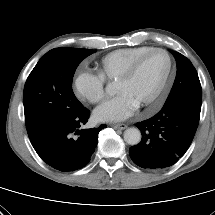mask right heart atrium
Listing matches in <instances>:
<instances>
[{
    "mask_svg": "<svg viewBox=\"0 0 215 215\" xmlns=\"http://www.w3.org/2000/svg\"><path fill=\"white\" fill-rule=\"evenodd\" d=\"M73 88L77 98L95 104L105 96V79L99 73L81 70L75 74Z\"/></svg>",
    "mask_w": 215,
    "mask_h": 215,
    "instance_id": "obj_1",
    "label": "right heart atrium"
}]
</instances>
